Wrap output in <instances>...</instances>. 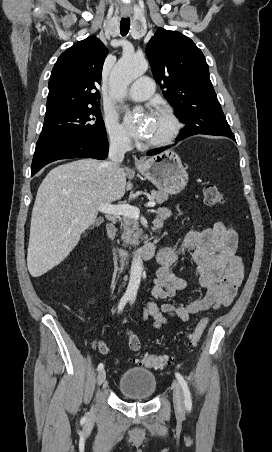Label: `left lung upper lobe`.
I'll return each instance as SVG.
<instances>
[{"label": "left lung upper lobe", "instance_id": "5c2ea615", "mask_svg": "<svg viewBox=\"0 0 272 452\" xmlns=\"http://www.w3.org/2000/svg\"><path fill=\"white\" fill-rule=\"evenodd\" d=\"M146 54L156 81L186 124L185 129L212 135L231 132L205 57L190 38L158 28L146 46Z\"/></svg>", "mask_w": 272, "mask_h": 452}]
</instances>
